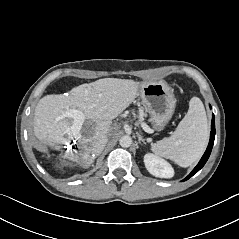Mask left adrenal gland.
<instances>
[{
    "instance_id": "1",
    "label": "left adrenal gland",
    "mask_w": 239,
    "mask_h": 239,
    "mask_svg": "<svg viewBox=\"0 0 239 239\" xmlns=\"http://www.w3.org/2000/svg\"><path fill=\"white\" fill-rule=\"evenodd\" d=\"M136 134H137L139 143L141 144V142H143L146 145V141L143 138V136L139 132H136Z\"/></svg>"
}]
</instances>
